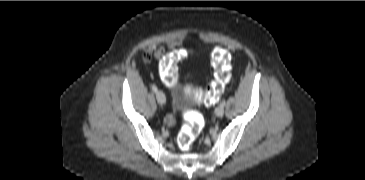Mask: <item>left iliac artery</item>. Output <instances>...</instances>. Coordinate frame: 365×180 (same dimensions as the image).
<instances>
[{"mask_svg": "<svg viewBox=\"0 0 365 180\" xmlns=\"http://www.w3.org/2000/svg\"><path fill=\"white\" fill-rule=\"evenodd\" d=\"M225 104H226L225 100H222V102L220 103V105H222V106H225Z\"/></svg>", "mask_w": 365, "mask_h": 180, "instance_id": "left-iliac-artery-1", "label": "left iliac artery"}]
</instances>
